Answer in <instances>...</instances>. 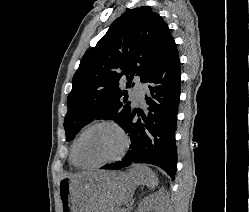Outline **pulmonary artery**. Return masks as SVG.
<instances>
[{"label":"pulmonary artery","instance_id":"obj_1","mask_svg":"<svg viewBox=\"0 0 249 212\" xmlns=\"http://www.w3.org/2000/svg\"><path fill=\"white\" fill-rule=\"evenodd\" d=\"M145 86L141 83H137L131 90L130 96L135 105L144 103V91Z\"/></svg>","mask_w":249,"mask_h":212}]
</instances>
